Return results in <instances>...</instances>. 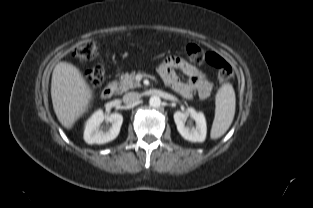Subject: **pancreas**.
<instances>
[{"label":"pancreas","instance_id":"cf45deb5","mask_svg":"<svg viewBox=\"0 0 313 208\" xmlns=\"http://www.w3.org/2000/svg\"><path fill=\"white\" fill-rule=\"evenodd\" d=\"M140 86H141L140 83L135 80V73L131 74L125 73L121 77L117 93L121 94L123 92L128 91L129 89H133Z\"/></svg>","mask_w":313,"mask_h":208}]
</instances>
